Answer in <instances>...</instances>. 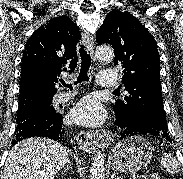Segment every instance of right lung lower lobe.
Segmentation results:
<instances>
[{
    "instance_id": "obj_1",
    "label": "right lung lower lobe",
    "mask_w": 183,
    "mask_h": 179,
    "mask_svg": "<svg viewBox=\"0 0 183 179\" xmlns=\"http://www.w3.org/2000/svg\"><path fill=\"white\" fill-rule=\"evenodd\" d=\"M64 134L65 130L60 114L34 110L25 120L17 123L12 144L35 136L48 137L59 142L62 141Z\"/></svg>"
}]
</instances>
